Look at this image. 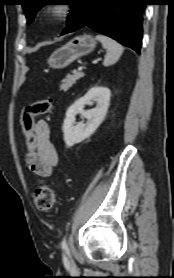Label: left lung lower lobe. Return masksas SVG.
Segmentation results:
<instances>
[{
	"mask_svg": "<svg viewBox=\"0 0 174 278\" xmlns=\"http://www.w3.org/2000/svg\"><path fill=\"white\" fill-rule=\"evenodd\" d=\"M146 0H83L62 34L89 27L140 53Z\"/></svg>",
	"mask_w": 174,
	"mask_h": 278,
	"instance_id": "0a47b994",
	"label": "left lung lower lobe"
}]
</instances>
